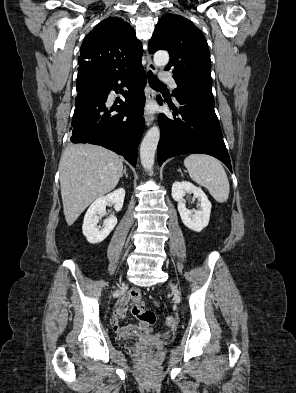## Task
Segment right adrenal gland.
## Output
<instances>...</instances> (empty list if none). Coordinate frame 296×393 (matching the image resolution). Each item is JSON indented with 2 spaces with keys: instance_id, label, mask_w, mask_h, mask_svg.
I'll use <instances>...</instances> for the list:
<instances>
[{
  "instance_id": "right-adrenal-gland-1",
  "label": "right adrenal gland",
  "mask_w": 296,
  "mask_h": 393,
  "mask_svg": "<svg viewBox=\"0 0 296 393\" xmlns=\"http://www.w3.org/2000/svg\"><path fill=\"white\" fill-rule=\"evenodd\" d=\"M123 175H125V177L128 178V175L126 173V166H124V170H123V173L121 175V178L123 177Z\"/></svg>"
}]
</instances>
